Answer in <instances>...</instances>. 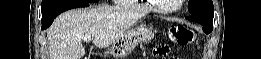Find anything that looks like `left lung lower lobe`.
<instances>
[{"label": "left lung lower lobe", "mask_w": 261, "mask_h": 59, "mask_svg": "<svg viewBox=\"0 0 261 59\" xmlns=\"http://www.w3.org/2000/svg\"><path fill=\"white\" fill-rule=\"evenodd\" d=\"M187 19L195 21V22L203 25V31L206 34L212 32V29H213L212 20L204 19V18L197 17V16H189V17H187Z\"/></svg>", "instance_id": "0a47b994"}]
</instances>
